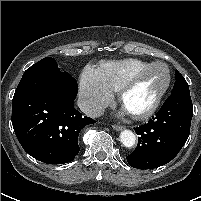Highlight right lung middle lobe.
Returning <instances> with one entry per match:
<instances>
[{
    "instance_id": "right-lung-middle-lobe-1",
    "label": "right lung middle lobe",
    "mask_w": 201,
    "mask_h": 201,
    "mask_svg": "<svg viewBox=\"0 0 201 201\" xmlns=\"http://www.w3.org/2000/svg\"><path fill=\"white\" fill-rule=\"evenodd\" d=\"M30 69H46V70H53V71L60 70L57 66L56 61L51 57L43 58L42 60L35 63L27 70H30Z\"/></svg>"
}]
</instances>
